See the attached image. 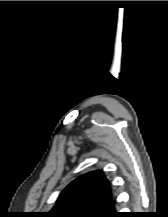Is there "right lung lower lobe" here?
<instances>
[{
    "label": "right lung lower lobe",
    "instance_id": "1",
    "mask_svg": "<svg viewBox=\"0 0 168 217\" xmlns=\"http://www.w3.org/2000/svg\"><path fill=\"white\" fill-rule=\"evenodd\" d=\"M125 215H122L121 213H114L113 215H110L109 217H124Z\"/></svg>",
    "mask_w": 168,
    "mask_h": 217
}]
</instances>
